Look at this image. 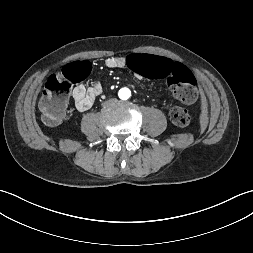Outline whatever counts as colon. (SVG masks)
I'll return each instance as SVG.
<instances>
[{"mask_svg": "<svg viewBox=\"0 0 253 253\" xmlns=\"http://www.w3.org/2000/svg\"><path fill=\"white\" fill-rule=\"evenodd\" d=\"M126 68L140 77L164 78L175 97L184 103H192L197 98L196 80L192 73L165 55L135 52L127 57ZM89 71V63L78 62L64 67L48 79L40 99V111L46 124L56 125L64 118L73 85L83 81ZM170 118L177 126L184 127L190 123L191 113L177 106L171 109Z\"/></svg>", "mask_w": 253, "mask_h": 253, "instance_id": "1", "label": "colon"}]
</instances>
